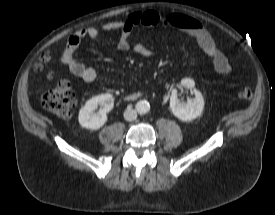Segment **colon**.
I'll list each match as a JSON object with an SVG mask.
<instances>
[{"mask_svg":"<svg viewBox=\"0 0 275 215\" xmlns=\"http://www.w3.org/2000/svg\"><path fill=\"white\" fill-rule=\"evenodd\" d=\"M47 59H42L39 69H42L47 63ZM253 96L250 87H243L238 91V97L243 100H249ZM76 104L75 94L67 80H59L57 84L48 89L42 96V105L49 112L61 119H68Z\"/></svg>","mask_w":275,"mask_h":215,"instance_id":"1","label":"colon"}]
</instances>
